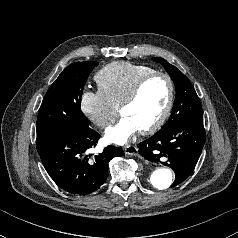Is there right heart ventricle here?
I'll return each instance as SVG.
<instances>
[{
    "label": "right heart ventricle",
    "instance_id": "right-heart-ventricle-1",
    "mask_svg": "<svg viewBox=\"0 0 238 238\" xmlns=\"http://www.w3.org/2000/svg\"><path fill=\"white\" fill-rule=\"evenodd\" d=\"M156 72L153 68L124 61H115L95 75L98 89L114 105L119 106L134 85L144 76Z\"/></svg>",
    "mask_w": 238,
    "mask_h": 238
}]
</instances>
